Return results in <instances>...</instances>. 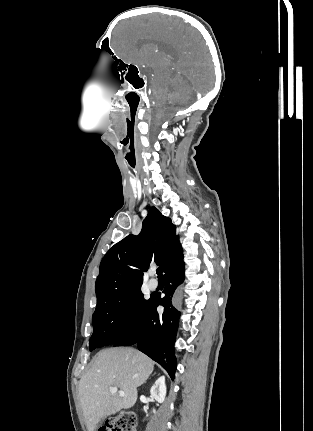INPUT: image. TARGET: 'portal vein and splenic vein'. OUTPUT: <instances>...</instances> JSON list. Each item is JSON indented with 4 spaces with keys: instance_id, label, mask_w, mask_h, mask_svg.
<instances>
[{
    "instance_id": "1",
    "label": "portal vein and splenic vein",
    "mask_w": 313,
    "mask_h": 431,
    "mask_svg": "<svg viewBox=\"0 0 313 431\" xmlns=\"http://www.w3.org/2000/svg\"><path fill=\"white\" fill-rule=\"evenodd\" d=\"M109 391H110V393H112V394H114V393L118 392V393H119V395H120L121 397H123V396L125 395V393H124L122 390H119V391H118V389H117L116 387H111V388L109 389Z\"/></svg>"
}]
</instances>
